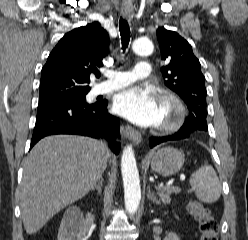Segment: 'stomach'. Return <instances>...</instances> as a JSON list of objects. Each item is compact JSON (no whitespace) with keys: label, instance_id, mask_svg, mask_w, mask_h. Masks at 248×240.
Returning <instances> with one entry per match:
<instances>
[{"label":"stomach","instance_id":"stomach-1","mask_svg":"<svg viewBox=\"0 0 248 240\" xmlns=\"http://www.w3.org/2000/svg\"><path fill=\"white\" fill-rule=\"evenodd\" d=\"M148 161L152 170L163 176H170L182 168L184 154L176 148L163 147L153 152L148 157Z\"/></svg>","mask_w":248,"mask_h":240}]
</instances>
